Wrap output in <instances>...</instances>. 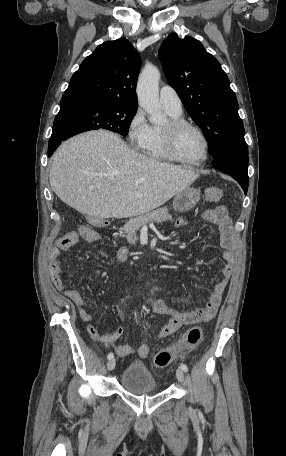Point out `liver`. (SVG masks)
<instances>
[{
	"label": "liver",
	"instance_id": "liver-1",
	"mask_svg": "<svg viewBox=\"0 0 286 456\" xmlns=\"http://www.w3.org/2000/svg\"><path fill=\"white\" fill-rule=\"evenodd\" d=\"M198 177L191 167L149 158L130 149L118 135L97 130L77 135L57 149L49 181L64 203L103 219L147 213Z\"/></svg>",
	"mask_w": 286,
	"mask_h": 456
}]
</instances>
